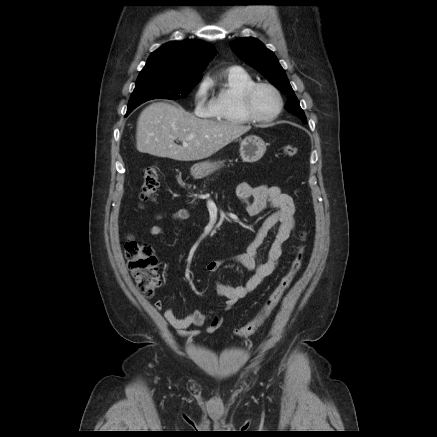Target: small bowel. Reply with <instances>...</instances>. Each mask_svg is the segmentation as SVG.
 Masks as SVG:
<instances>
[{
	"label": "small bowel",
	"mask_w": 437,
	"mask_h": 437,
	"mask_svg": "<svg viewBox=\"0 0 437 437\" xmlns=\"http://www.w3.org/2000/svg\"><path fill=\"white\" fill-rule=\"evenodd\" d=\"M236 193L249 216H257L267 209H272L273 212L264 220L246 252L234 257L236 262L252 272L251 277L244 284L238 286H230L219 280L214 284L216 293L225 298L227 310H230L239 299L246 297L254 291L276 269L283 255L284 246L295 228V204L293 198L286 194L279 185L262 184L251 187L247 183H241ZM166 216V213H160L155 219L159 221ZM189 217L190 212L185 208L178 209L172 213V218L178 221L186 220ZM276 224H279L278 231L272 241L266 259L261 261L259 259V248L268 232ZM148 233L153 236H161L163 228L155 224L148 228ZM222 265V260H213L207 264L206 268L209 272H217ZM154 305L159 310L163 307L161 300H157ZM163 315L179 335L187 338L199 335L201 333L199 328L205 324L207 319V316L198 310H192L185 317L180 318L176 316L171 307L166 308ZM221 323L222 320L220 318L214 317L207 326L206 332H215ZM190 327H196V329L189 330Z\"/></svg>",
	"instance_id": "small-bowel-1"
}]
</instances>
